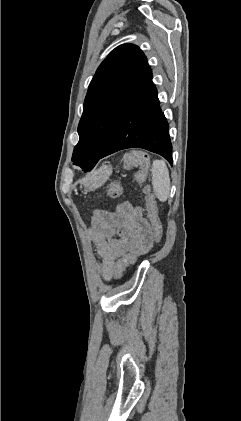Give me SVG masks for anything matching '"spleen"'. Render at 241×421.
<instances>
[{"label": "spleen", "instance_id": "obj_1", "mask_svg": "<svg viewBox=\"0 0 241 421\" xmlns=\"http://www.w3.org/2000/svg\"><path fill=\"white\" fill-rule=\"evenodd\" d=\"M151 173L154 194L159 201L165 202L170 193V177L166 163L163 160H154Z\"/></svg>", "mask_w": 241, "mask_h": 421}]
</instances>
